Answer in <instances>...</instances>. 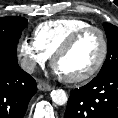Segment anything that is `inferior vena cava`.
<instances>
[{
  "label": "inferior vena cava",
  "mask_w": 118,
  "mask_h": 118,
  "mask_svg": "<svg viewBox=\"0 0 118 118\" xmlns=\"http://www.w3.org/2000/svg\"><path fill=\"white\" fill-rule=\"evenodd\" d=\"M21 68L28 73H33L36 68V62L29 58H23L21 60Z\"/></svg>",
  "instance_id": "1"
}]
</instances>
